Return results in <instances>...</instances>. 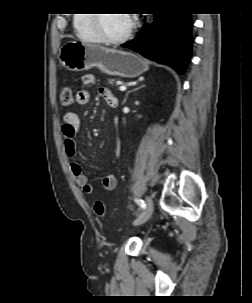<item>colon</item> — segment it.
Listing matches in <instances>:
<instances>
[{
	"instance_id": "5ec220e1",
	"label": "colon",
	"mask_w": 252,
	"mask_h": 303,
	"mask_svg": "<svg viewBox=\"0 0 252 303\" xmlns=\"http://www.w3.org/2000/svg\"><path fill=\"white\" fill-rule=\"evenodd\" d=\"M60 101L64 107H70L73 104V91L70 86L62 87L60 91ZM93 210L95 215L99 218H104L106 216V206L100 200L94 202Z\"/></svg>"
}]
</instances>
